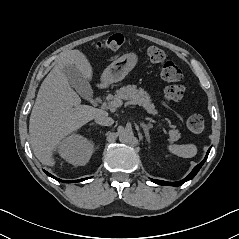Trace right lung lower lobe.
<instances>
[{"label": "right lung lower lobe", "instance_id": "98d812e1", "mask_svg": "<svg viewBox=\"0 0 239 239\" xmlns=\"http://www.w3.org/2000/svg\"><path fill=\"white\" fill-rule=\"evenodd\" d=\"M44 172L48 175V176H50V177H52V178H54V179H56V180H58V181H62V182H81V181H84V180H86L87 178H85V179H80V180H75V181H64V180H61V179H58V178H56V177H54L53 175H51L50 173H48L47 171H45L44 170Z\"/></svg>", "mask_w": 239, "mask_h": 239}]
</instances>
